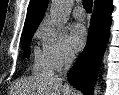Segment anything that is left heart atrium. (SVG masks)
Instances as JSON below:
<instances>
[{"instance_id":"1","label":"left heart atrium","mask_w":119,"mask_h":95,"mask_svg":"<svg viewBox=\"0 0 119 95\" xmlns=\"http://www.w3.org/2000/svg\"><path fill=\"white\" fill-rule=\"evenodd\" d=\"M87 42V31L82 24H74L70 31V44L75 51L81 50Z\"/></svg>"}]
</instances>
